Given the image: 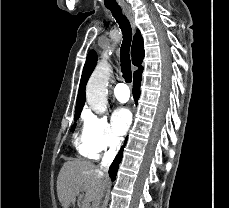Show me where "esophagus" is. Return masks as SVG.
Instances as JSON below:
<instances>
[{"label": "esophagus", "instance_id": "34e87169", "mask_svg": "<svg viewBox=\"0 0 229 208\" xmlns=\"http://www.w3.org/2000/svg\"><path fill=\"white\" fill-rule=\"evenodd\" d=\"M130 24H131V27L133 28V30H135L136 28V25H135V15H134V12L129 8V7H124L123 8Z\"/></svg>", "mask_w": 229, "mask_h": 208}]
</instances>
